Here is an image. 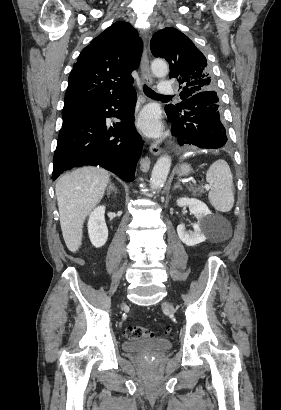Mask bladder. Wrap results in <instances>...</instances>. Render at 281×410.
<instances>
[{
    "label": "bladder",
    "instance_id": "obj_1",
    "mask_svg": "<svg viewBox=\"0 0 281 410\" xmlns=\"http://www.w3.org/2000/svg\"><path fill=\"white\" fill-rule=\"evenodd\" d=\"M124 350L130 353L157 354L170 350L172 343L164 339H136L127 340Z\"/></svg>",
    "mask_w": 281,
    "mask_h": 410
}]
</instances>
